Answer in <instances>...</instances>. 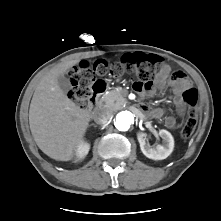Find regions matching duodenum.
I'll return each instance as SVG.
<instances>
[{"label":"duodenum","instance_id":"obj_1","mask_svg":"<svg viewBox=\"0 0 221 221\" xmlns=\"http://www.w3.org/2000/svg\"><path fill=\"white\" fill-rule=\"evenodd\" d=\"M107 89V84L105 81L103 80H96L90 87V97H89V101L91 103V108L90 111L92 109V106L95 105L100 97L105 93Z\"/></svg>","mask_w":221,"mask_h":221}]
</instances>
